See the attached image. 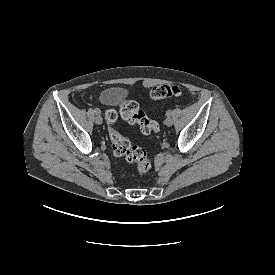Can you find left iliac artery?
<instances>
[{"mask_svg":"<svg viewBox=\"0 0 275 275\" xmlns=\"http://www.w3.org/2000/svg\"><path fill=\"white\" fill-rule=\"evenodd\" d=\"M171 114H172V111L171 110H168L167 112H166V115L169 117V116H171Z\"/></svg>","mask_w":275,"mask_h":275,"instance_id":"obj_1","label":"left iliac artery"}]
</instances>
